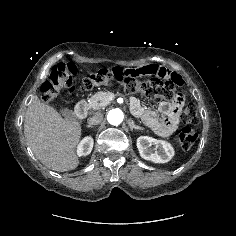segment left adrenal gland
Returning a JSON list of instances; mask_svg holds the SVG:
<instances>
[{"label": "left adrenal gland", "instance_id": "a2214340", "mask_svg": "<svg viewBox=\"0 0 236 236\" xmlns=\"http://www.w3.org/2000/svg\"><path fill=\"white\" fill-rule=\"evenodd\" d=\"M128 121H129V126H130L131 130H133V129H141L139 126H137L134 123V121L132 119H129Z\"/></svg>", "mask_w": 236, "mask_h": 236}]
</instances>
